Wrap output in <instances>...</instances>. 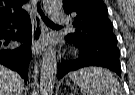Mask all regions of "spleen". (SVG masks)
Listing matches in <instances>:
<instances>
[{
    "label": "spleen",
    "mask_w": 135,
    "mask_h": 95,
    "mask_svg": "<svg viewBox=\"0 0 135 95\" xmlns=\"http://www.w3.org/2000/svg\"><path fill=\"white\" fill-rule=\"evenodd\" d=\"M69 77L80 86L84 95H123L118 80L104 68H82L71 72Z\"/></svg>",
    "instance_id": "3e777b00"
}]
</instances>
